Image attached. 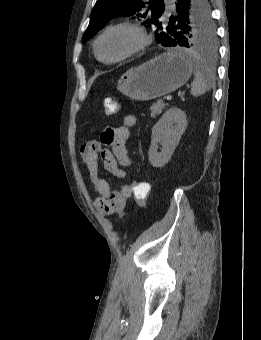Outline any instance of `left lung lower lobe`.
<instances>
[{"label": "left lung lower lobe", "instance_id": "0a47b994", "mask_svg": "<svg viewBox=\"0 0 261 340\" xmlns=\"http://www.w3.org/2000/svg\"><path fill=\"white\" fill-rule=\"evenodd\" d=\"M191 4H192V0H176L175 1L176 15L170 16L167 21L171 24L175 23L177 25L179 23L180 18L189 13ZM176 44H177V40H175V38L171 39V36H170L169 39L165 41L164 46L176 47Z\"/></svg>", "mask_w": 261, "mask_h": 340}]
</instances>
